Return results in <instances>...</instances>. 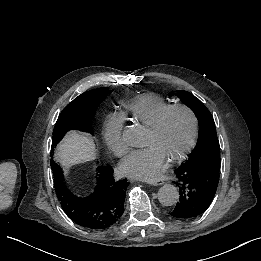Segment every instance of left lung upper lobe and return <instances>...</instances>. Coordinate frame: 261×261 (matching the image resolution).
I'll use <instances>...</instances> for the list:
<instances>
[{
    "instance_id": "5c2ea615",
    "label": "left lung upper lobe",
    "mask_w": 261,
    "mask_h": 261,
    "mask_svg": "<svg viewBox=\"0 0 261 261\" xmlns=\"http://www.w3.org/2000/svg\"><path fill=\"white\" fill-rule=\"evenodd\" d=\"M181 101L196 114L199 122L197 144L180 167H212L220 170V145L214 119L207 107L193 94L178 91Z\"/></svg>"
}]
</instances>
